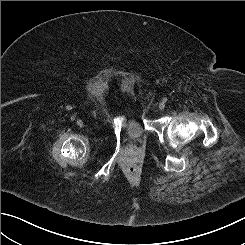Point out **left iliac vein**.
Wrapping results in <instances>:
<instances>
[{
	"instance_id": "1",
	"label": "left iliac vein",
	"mask_w": 245,
	"mask_h": 245,
	"mask_svg": "<svg viewBox=\"0 0 245 245\" xmlns=\"http://www.w3.org/2000/svg\"><path fill=\"white\" fill-rule=\"evenodd\" d=\"M159 108H160V109H164V108H165V104H164V102H160V104H159Z\"/></svg>"
}]
</instances>
